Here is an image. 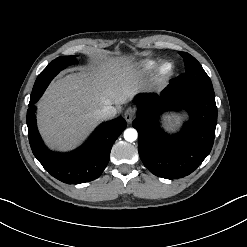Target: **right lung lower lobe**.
<instances>
[{
	"mask_svg": "<svg viewBox=\"0 0 247 247\" xmlns=\"http://www.w3.org/2000/svg\"><path fill=\"white\" fill-rule=\"evenodd\" d=\"M42 94L30 99L27 111L28 137L34 156L53 177L64 183L78 184L97 179L109 162L113 143L126 128L125 120L119 117L102 124L74 152L54 153L43 144L36 126L34 104Z\"/></svg>",
	"mask_w": 247,
	"mask_h": 247,
	"instance_id": "1",
	"label": "right lung lower lobe"
}]
</instances>
